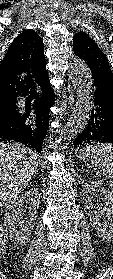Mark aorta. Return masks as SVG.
Masks as SVG:
<instances>
[{"instance_id": "aorta-1", "label": "aorta", "mask_w": 113, "mask_h": 279, "mask_svg": "<svg viewBox=\"0 0 113 279\" xmlns=\"http://www.w3.org/2000/svg\"><path fill=\"white\" fill-rule=\"evenodd\" d=\"M69 76L76 91V104L62 131L64 140L76 138L85 129L93 107L92 75L87 64L82 59L74 58L69 66Z\"/></svg>"}]
</instances>
